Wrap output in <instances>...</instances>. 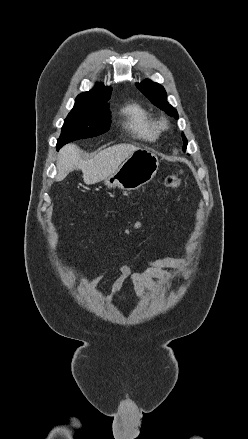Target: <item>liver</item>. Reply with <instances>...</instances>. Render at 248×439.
<instances>
[{"label": "liver", "instance_id": "liver-1", "mask_svg": "<svg viewBox=\"0 0 248 439\" xmlns=\"http://www.w3.org/2000/svg\"><path fill=\"white\" fill-rule=\"evenodd\" d=\"M138 149L140 148L132 144H117L101 150L91 159L83 160L77 146L66 145L59 152L56 181H61L70 172L80 169L85 184L98 183L113 174Z\"/></svg>", "mask_w": 248, "mask_h": 439}]
</instances>
